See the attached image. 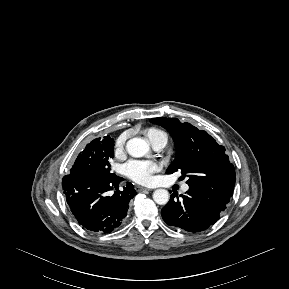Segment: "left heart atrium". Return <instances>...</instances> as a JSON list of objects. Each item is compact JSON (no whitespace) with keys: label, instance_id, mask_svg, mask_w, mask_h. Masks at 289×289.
<instances>
[{"label":"left heart atrium","instance_id":"left-heart-atrium-1","mask_svg":"<svg viewBox=\"0 0 289 289\" xmlns=\"http://www.w3.org/2000/svg\"><path fill=\"white\" fill-rule=\"evenodd\" d=\"M158 169L155 162L133 160L125 166V174L134 182L149 184L152 181L153 173Z\"/></svg>","mask_w":289,"mask_h":289}]
</instances>
